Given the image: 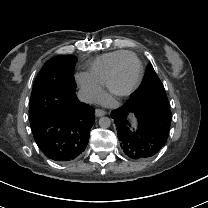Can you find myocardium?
Wrapping results in <instances>:
<instances>
[{
    "mask_svg": "<svg viewBox=\"0 0 208 208\" xmlns=\"http://www.w3.org/2000/svg\"><path fill=\"white\" fill-rule=\"evenodd\" d=\"M131 60H136L139 64V71H138L137 78L135 79V81L130 86L125 87V88L120 87L119 86V81H118L120 71ZM143 73H144V67H143V63H142L141 59L135 54L130 55V56L126 57L125 59L121 60L115 66V68H114V70L111 74V77L109 79L108 89L114 95L128 96V95L132 94L139 87V85L142 81V78H143Z\"/></svg>",
    "mask_w": 208,
    "mask_h": 208,
    "instance_id": "f54148a6",
    "label": "myocardium"
}]
</instances>
